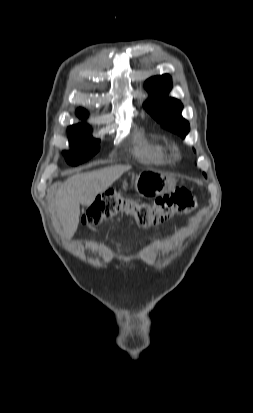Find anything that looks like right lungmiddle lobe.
Masks as SVG:
<instances>
[{
    "label": "right lung middle lobe",
    "instance_id": "right-lung-middle-lobe-1",
    "mask_svg": "<svg viewBox=\"0 0 253 413\" xmlns=\"http://www.w3.org/2000/svg\"><path fill=\"white\" fill-rule=\"evenodd\" d=\"M68 138L71 146L69 152H64L66 161L73 166L88 160L99 149V140L91 136V128L86 124H77L68 128Z\"/></svg>",
    "mask_w": 253,
    "mask_h": 413
}]
</instances>
